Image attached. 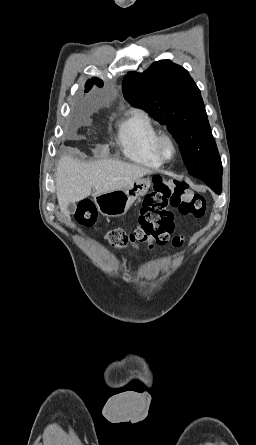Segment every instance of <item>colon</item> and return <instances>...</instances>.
<instances>
[{
	"label": "colon",
	"mask_w": 256,
	"mask_h": 445,
	"mask_svg": "<svg viewBox=\"0 0 256 445\" xmlns=\"http://www.w3.org/2000/svg\"><path fill=\"white\" fill-rule=\"evenodd\" d=\"M173 210L185 216L202 218L206 210L205 198L190 191L181 181L155 178L152 190L142 200L138 225L131 230L111 229L107 232V239L116 247L166 244L173 230ZM76 218L82 226H93L96 223L94 204L89 200L81 201Z\"/></svg>",
	"instance_id": "1"
}]
</instances>
